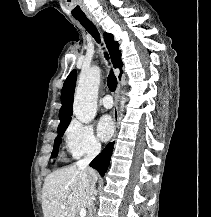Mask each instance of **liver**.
<instances>
[{"label": "liver", "mask_w": 211, "mask_h": 217, "mask_svg": "<svg viewBox=\"0 0 211 217\" xmlns=\"http://www.w3.org/2000/svg\"><path fill=\"white\" fill-rule=\"evenodd\" d=\"M96 180L95 170L76 165L47 175L42 189L44 217H76L79 210L91 207L90 184ZM69 197H73L70 202Z\"/></svg>", "instance_id": "1"}]
</instances>
